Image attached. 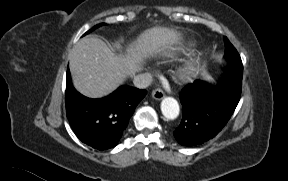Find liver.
<instances>
[{"instance_id":"6515ba94","label":"liver","mask_w":288,"mask_h":181,"mask_svg":"<svg viewBox=\"0 0 288 181\" xmlns=\"http://www.w3.org/2000/svg\"><path fill=\"white\" fill-rule=\"evenodd\" d=\"M179 31L155 26L145 30L131 43L125 54L116 55L96 37L79 40L69 54V67L75 88L90 98H100L114 91L142 69L145 59L181 44Z\"/></svg>"}]
</instances>
